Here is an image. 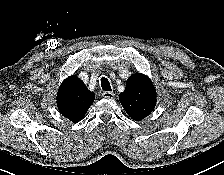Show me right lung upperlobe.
Instances as JSON below:
<instances>
[{"label": "right lung upper lobe", "instance_id": "1", "mask_svg": "<svg viewBox=\"0 0 224 175\" xmlns=\"http://www.w3.org/2000/svg\"><path fill=\"white\" fill-rule=\"evenodd\" d=\"M94 99V93L73 75L61 84L57 93V107L64 117L76 123L85 116Z\"/></svg>", "mask_w": 224, "mask_h": 175}]
</instances>
